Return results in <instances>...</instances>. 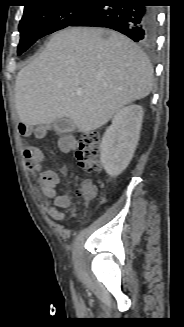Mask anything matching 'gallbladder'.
Here are the masks:
<instances>
[{
  "label": "gallbladder",
  "mask_w": 184,
  "mask_h": 327,
  "mask_svg": "<svg viewBox=\"0 0 184 327\" xmlns=\"http://www.w3.org/2000/svg\"><path fill=\"white\" fill-rule=\"evenodd\" d=\"M53 128L57 133H68L74 130L75 124L69 118H61L55 121Z\"/></svg>",
  "instance_id": "obj_1"
}]
</instances>
